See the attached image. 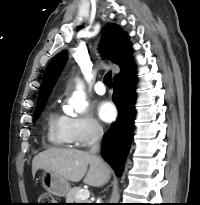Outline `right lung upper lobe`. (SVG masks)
<instances>
[{
  "instance_id": "obj_1",
  "label": "right lung upper lobe",
  "mask_w": 200,
  "mask_h": 205,
  "mask_svg": "<svg viewBox=\"0 0 200 205\" xmlns=\"http://www.w3.org/2000/svg\"><path fill=\"white\" fill-rule=\"evenodd\" d=\"M101 41L109 59L121 67L120 74L134 65L131 61V45L128 37L119 26L113 23L107 24L102 31ZM66 59L67 51L64 50L51 60L44 73L38 101L48 99Z\"/></svg>"
}]
</instances>
